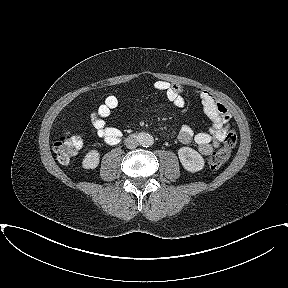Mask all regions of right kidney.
I'll list each match as a JSON object with an SVG mask.
<instances>
[{"label": "right kidney", "mask_w": 288, "mask_h": 288, "mask_svg": "<svg viewBox=\"0 0 288 288\" xmlns=\"http://www.w3.org/2000/svg\"><path fill=\"white\" fill-rule=\"evenodd\" d=\"M100 154L97 150H91L83 159L82 166L87 169H94L99 164Z\"/></svg>", "instance_id": "right-kidney-1"}]
</instances>
